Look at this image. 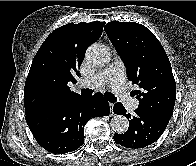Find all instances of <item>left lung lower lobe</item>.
<instances>
[{
    "mask_svg": "<svg viewBox=\"0 0 196 166\" xmlns=\"http://www.w3.org/2000/svg\"><path fill=\"white\" fill-rule=\"evenodd\" d=\"M113 111L115 114L125 115L129 121V128L124 134H114V141L126 148H143L155 142L170 120L168 116L140 108H137L135 115L131 117L121 103H116Z\"/></svg>",
    "mask_w": 196,
    "mask_h": 166,
    "instance_id": "0a47b994",
    "label": "left lung lower lobe"
}]
</instances>
